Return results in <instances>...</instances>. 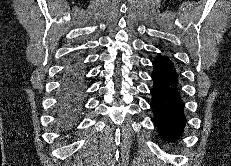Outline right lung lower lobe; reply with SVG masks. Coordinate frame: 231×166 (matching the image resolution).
<instances>
[{
	"instance_id": "1",
	"label": "right lung lower lobe",
	"mask_w": 231,
	"mask_h": 166,
	"mask_svg": "<svg viewBox=\"0 0 231 166\" xmlns=\"http://www.w3.org/2000/svg\"><path fill=\"white\" fill-rule=\"evenodd\" d=\"M85 69L82 58L74 54L63 73L56 104V123L60 128L74 126L82 111L85 96Z\"/></svg>"
}]
</instances>
